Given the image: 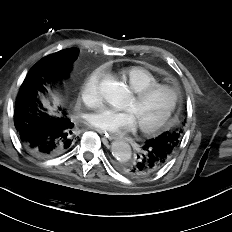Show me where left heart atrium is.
<instances>
[{
    "label": "left heart atrium",
    "mask_w": 232,
    "mask_h": 232,
    "mask_svg": "<svg viewBox=\"0 0 232 232\" xmlns=\"http://www.w3.org/2000/svg\"><path fill=\"white\" fill-rule=\"evenodd\" d=\"M85 120L94 128L114 134L131 131L137 125L136 119L131 111H117L107 107H101L87 114Z\"/></svg>",
    "instance_id": "39dd6f15"
}]
</instances>
